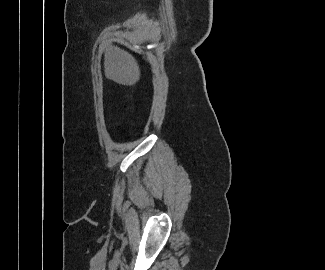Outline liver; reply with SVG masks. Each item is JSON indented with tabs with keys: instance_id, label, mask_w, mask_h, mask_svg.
Listing matches in <instances>:
<instances>
[{
	"instance_id": "liver-1",
	"label": "liver",
	"mask_w": 325,
	"mask_h": 270,
	"mask_svg": "<svg viewBox=\"0 0 325 270\" xmlns=\"http://www.w3.org/2000/svg\"><path fill=\"white\" fill-rule=\"evenodd\" d=\"M104 72L106 78L125 86L135 85L141 75L136 59L117 46H110L106 49Z\"/></svg>"
}]
</instances>
